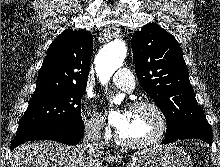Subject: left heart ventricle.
Listing matches in <instances>:
<instances>
[{
    "instance_id": "1",
    "label": "left heart ventricle",
    "mask_w": 220,
    "mask_h": 167,
    "mask_svg": "<svg viewBox=\"0 0 220 167\" xmlns=\"http://www.w3.org/2000/svg\"><path fill=\"white\" fill-rule=\"evenodd\" d=\"M158 129L156 115L149 109H130L127 121L119 133L127 140L140 141L150 138Z\"/></svg>"
}]
</instances>
